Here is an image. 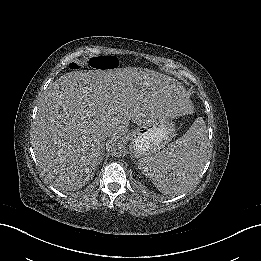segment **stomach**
<instances>
[{"mask_svg": "<svg viewBox=\"0 0 261 261\" xmlns=\"http://www.w3.org/2000/svg\"><path fill=\"white\" fill-rule=\"evenodd\" d=\"M167 122L163 115H152L132 131L131 152L136 158L146 157L160 150L170 136Z\"/></svg>", "mask_w": 261, "mask_h": 261, "instance_id": "obj_1", "label": "stomach"}]
</instances>
